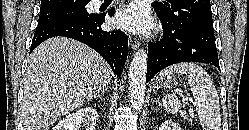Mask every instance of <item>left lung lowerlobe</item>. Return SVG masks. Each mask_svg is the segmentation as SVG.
Instances as JSON below:
<instances>
[{
	"label": "left lung lower lobe",
	"instance_id": "obj_1",
	"mask_svg": "<svg viewBox=\"0 0 249 130\" xmlns=\"http://www.w3.org/2000/svg\"><path fill=\"white\" fill-rule=\"evenodd\" d=\"M163 38L148 45L146 82L167 66L180 62H201L220 70L215 36L212 30L160 19Z\"/></svg>",
	"mask_w": 249,
	"mask_h": 130
}]
</instances>
